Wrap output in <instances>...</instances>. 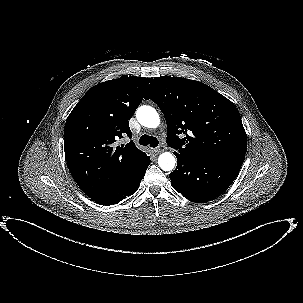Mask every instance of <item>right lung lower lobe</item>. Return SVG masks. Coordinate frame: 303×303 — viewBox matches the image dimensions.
Returning <instances> with one entry per match:
<instances>
[{
	"label": "right lung lower lobe",
	"mask_w": 303,
	"mask_h": 303,
	"mask_svg": "<svg viewBox=\"0 0 303 303\" xmlns=\"http://www.w3.org/2000/svg\"><path fill=\"white\" fill-rule=\"evenodd\" d=\"M150 164V157L148 156L146 161L142 164L141 167L124 183L113 189L112 191L100 195L94 199L98 204L109 206L114 205L134 194L138 189L142 178L145 175V172Z\"/></svg>",
	"instance_id": "98d812e1"
}]
</instances>
